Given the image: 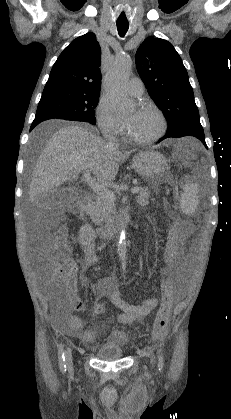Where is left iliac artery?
Returning <instances> with one entry per match:
<instances>
[{
	"mask_svg": "<svg viewBox=\"0 0 231 419\" xmlns=\"http://www.w3.org/2000/svg\"><path fill=\"white\" fill-rule=\"evenodd\" d=\"M162 368H163V357L159 351V370H162Z\"/></svg>",
	"mask_w": 231,
	"mask_h": 419,
	"instance_id": "44dca946",
	"label": "left iliac artery"
}]
</instances>
